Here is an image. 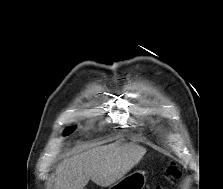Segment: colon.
<instances>
[{
	"label": "colon",
	"instance_id": "5ec220e1",
	"mask_svg": "<svg viewBox=\"0 0 223 189\" xmlns=\"http://www.w3.org/2000/svg\"><path fill=\"white\" fill-rule=\"evenodd\" d=\"M179 176H180V171L178 170L176 165L175 164L169 165L168 168L166 169V179L168 181H173L177 179ZM155 189H167V187L165 185H161L156 187Z\"/></svg>",
	"mask_w": 223,
	"mask_h": 189
}]
</instances>
